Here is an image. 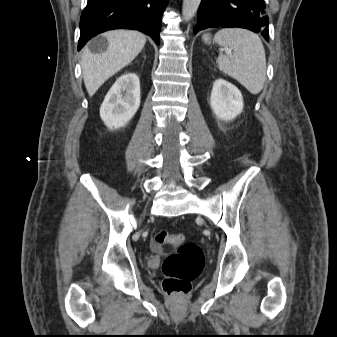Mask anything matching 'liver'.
<instances>
[{
  "mask_svg": "<svg viewBox=\"0 0 337 337\" xmlns=\"http://www.w3.org/2000/svg\"><path fill=\"white\" fill-rule=\"evenodd\" d=\"M103 36L108 41L106 51L94 54L85 47L82 52V74L90 97L106 80L132 62L146 43L144 34L132 30L107 31Z\"/></svg>",
  "mask_w": 337,
  "mask_h": 337,
  "instance_id": "6515ba94",
  "label": "liver"
}]
</instances>
